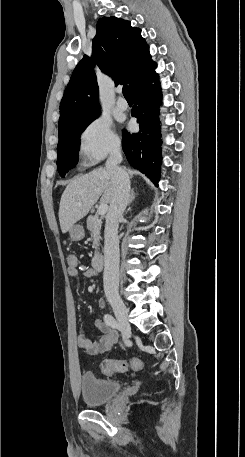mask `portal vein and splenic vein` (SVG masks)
I'll return each instance as SVG.
<instances>
[{"mask_svg": "<svg viewBox=\"0 0 245 457\" xmlns=\"http://www.w3.org/2000/svg\"><path fill=\"white\" fill-rule=\"evenodd\" d=\"M80 204V202H79ZM108 210V204H105V202H102V204H99L98 208H97V212L98 214H106Z\"/></svg>", "mask_w": 245, "mask_h": 457, "instance_id": "obj_1", "label": "portal vein and splenic vein"}]
</instances>
